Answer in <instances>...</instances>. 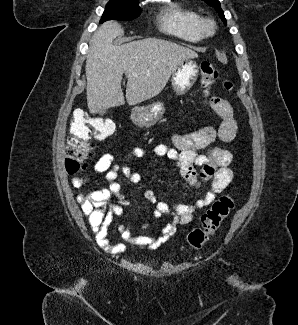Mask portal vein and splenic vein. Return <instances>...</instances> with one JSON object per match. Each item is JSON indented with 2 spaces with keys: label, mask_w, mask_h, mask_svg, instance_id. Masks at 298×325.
I'll return each instance as SVG.
<instances>
[{
  "label": "portal vein and splenic vein",
  "mask_w": 298,
  "mask_h": 325,
  "mask_svg": "<svg viewBox=\"0 0 298 325\" xmlns=\"http://www.w3.org/2000/svg\"><path fill=\"white\" fill-rule=\"evenodd\" d=\"M133 76H139V74H135V72H132Z\"/></svg>",
  "instance_id": "1"
}]
</instances>
